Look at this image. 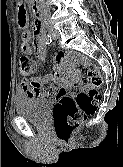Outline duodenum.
Returning a JSON list of instances; mask_svg holds the SVG:
<instances>
[{
  "label": "duodenum",
  "instance_id": "duodenum-1",
  "mask_svg": "<svg viewBox=\"0 0 123 167\" xmlns=\"http://www.w3.org/2000/svg\"><path fill=\"white\" fill-rule=\"evenodd\" d=\"M33 12L35 13V15L37 16V24H39L41 26V28L43 29V12L41 9V5L39 3L38 0H34L33 1Z\"/></svg>",
  "mask_w": 123,
  "mask_h": 167
}]
</instances>
